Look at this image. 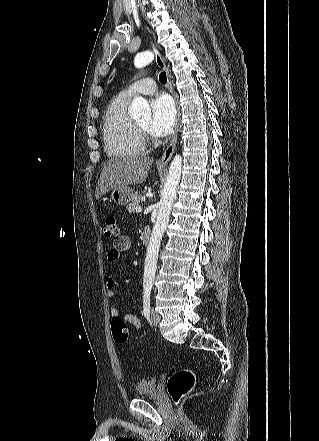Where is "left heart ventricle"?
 <instances>
[{"instance_id": "b2bd125f", "label": "left heart ventricle", "mask_w": 319, "mask_h": 441, "mask_svg": "<svg viewBox=\"0 0 319 441\" xmlns=\"http://www.w3.org/2000/svg\"><path fill=\"white\" fill-rule=\"evenodd\" d=\"M142 127H144L145 129L148 128L149 126V119L143 120L139 123Z\"/></svg>"}]
</instances>
